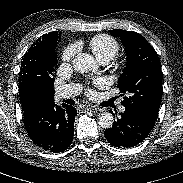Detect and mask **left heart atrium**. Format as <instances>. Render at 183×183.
<instances>
[{"mask_svg": "<svg viewBox=\"0 0 183 183\" xmlns=\"http://www.w3.org/2000/svg\"><path fill=\"white\" fill-rule=\"evenodd\" d=\"M94 86H100L101 85V81L100 80H96L93 82ZM87 95L91 96L93 95V89L92 88H88L87 89Z\"/></svg>", "mask_w": 183, "mask_h": 183, "instance_id": "1", "label": "left heart atrium"}]
</instances>
